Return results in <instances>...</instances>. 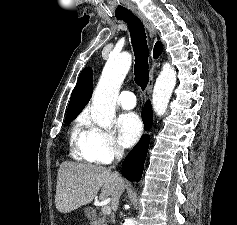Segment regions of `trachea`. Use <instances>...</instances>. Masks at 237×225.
Masks as SVG:
<instances>
[{"instance_id": "1", "label": "trachea", "mask_w": 237, "mask_h": 225, "mask_svg": "<svg viewBox=\"0 0 237 225\" xmlns=\"http://www.w3.org/2000/svg\"><path fill=\"white\" fill-rule=\"evenodd\" d=\"M117 19L123 20L128 25L135 55L134 80L135 83L144 90L149 82V50L143 23L133 13L121 15L117 17Z\"/></svg>"}]
</instances>
